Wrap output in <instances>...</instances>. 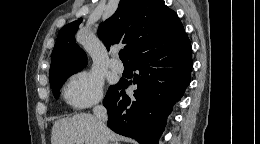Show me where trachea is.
<instances>
[{
	"label": "trachea",
	"instance_id": "obj_1",
	"mask_svg": "<svg viewBox=\"0 0 260 144\" xmlns=\"http://www.w3.org/2000/svg\"><path fill=\"white\" fill-rule=\"evenodd\" d=\"M119 57L122 60L123 63H127V57H126V53L124 50H120L119 51Z\"/></svg>",
	"mask_w": 260,
	"mask_h": 144
}]
</instances>
